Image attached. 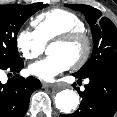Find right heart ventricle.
I'll return each mask as SVG.
<instances>
[{"label": "right heart ventricle", "mask_w": 117, "mask_h": 117, "mask_svg": "<svg viewBox=\"0 0 117 117\" xmlns=\"http://www.w3.org/2000/svg\"><path fill=\"white\" fill-rule=\"evenodd\" d=\"M31 24L44 44L60 34L85 29L83 20L76 13L63 8L44 11L38 14Z\"/></svg>", "instance_id": "1"}]
</instances>
